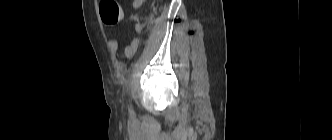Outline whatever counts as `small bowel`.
<instances>
[{
	"instance_id": "1",
	"label": "small bowel",
	"mask_w": 332,
	"mask_h": 140,
	"mask_svg": "<svg viewBox=\"0 0 332 140\" xmlns=\"http://www.w3.org/2000/svg\"><path fill=\"white\" fill-rule=\"evenodd\" d=\"M145 1L146 0H132V7L134 9H139L143 6ZM138 45H139L138 39L134 38L125 46L124 54L128 59L132 58L135 55V53L138 49ZM109 47L115 55L119 56V53H120L119 42L116 39H111L109 41Z\"/></svg>"
}]
</instances>
